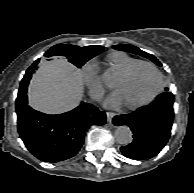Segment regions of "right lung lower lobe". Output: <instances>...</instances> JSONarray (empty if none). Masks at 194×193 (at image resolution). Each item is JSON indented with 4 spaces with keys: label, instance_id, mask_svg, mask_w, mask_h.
Returning <instances> with one entry per match:
<instances>
[{
    "label": "right lung lower lobe",
    "instance_id": "right-lung-lower-lobe-1",
    "mask_svg": "<svg viewBox=\"0 0 194 193\" xmlns=\"http://www.w3.org/2000/svg\"><path fill=\"white\" fill-rule=\"evenodd\" d=\"M26 91L19 92L16 99L18 132L27 149L41 161L55 163L73 157L87 129L106 122L104 112L84 102L67 113H41L28 105Z\"/></svg>",
    "mask_w": 194,
    "mask_h": 193
}]
</instances>
